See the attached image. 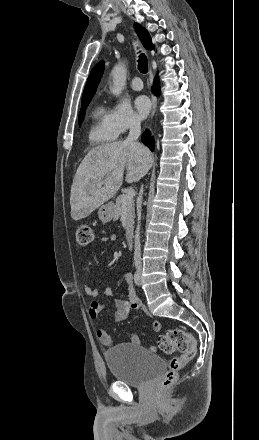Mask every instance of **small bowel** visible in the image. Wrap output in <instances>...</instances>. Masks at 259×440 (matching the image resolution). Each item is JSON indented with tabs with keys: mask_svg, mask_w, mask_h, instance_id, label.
Returning <instances> with one entry per match:
<instances>
[{
	"mask_svg": "<svg viewBox=\"0 0 259 440\" xmlns=\"http://www.w3.org/2000/svg\"><path fill=\"white\" fill-rule=\"evenodd\" d=\"M117 237L116 235H111L109 237H103L101 241L108 242V241H116ZM124 283L126 286L127 291V300H120V299H114L112 300V304L114 307V320L117 322L125 320L129 313L133 310H143L146 311L144 308L143 303L141 300L136 296L134 286H133V278L132 275L128 272L123 274ZM84 291L86 295L90 298H97L99 296H105L110 297L113 295V291L110 288L105 289H97L92 288L89 285L85 284ZM103 305L100 304L98 301L93 300L89 305V315L92 319H96L98 315L103 310ZM152 328L154 331H160L161 330V324L160 322L156 320H152L151 322ZM97 337L99 341L107 347H110L113 345V339L111 334L107 330H98L97 331ZM130 344L132 345H138L140 343V338L138 334L132 333L129 337ZM150 350L155 351L156 347L153 345H150Z\"/></svg>",
	"mask_w": 259,
	"mask_h": 440,
	"instance_id": "1",
	"label": "small bowel"
}]
</instances>
